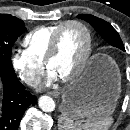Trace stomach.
Here are the masks:
<instances>
[{"mask_svg":"<svg viewBox=\"0 0 130 130\" xmlns=\"http://www.w3.org/2000/svg\"><path fill=\"white\" fill-rule=\"evenodd\" d=\"M121 93V74L106 56L93 59L83 75L62 92L61 112L78 122L110 116Z\"/></svg>","mask_w":130,"mask_h":130,"instance_id":"0dacf381","label":"stomach"}]
</instances>
